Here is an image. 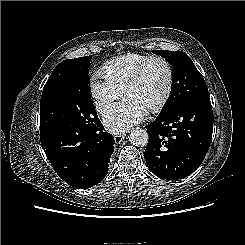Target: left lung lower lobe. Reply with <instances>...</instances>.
Listing matches in <instances>:
<instances>
[{"mask_svg": "<svg viewBox=\"0 0 245 245\" xmlns=\"http://www.w3.org/2000/svg\"><path fill=\"white\" fill-rule=\"evenodd\" d=\"M213 111L209 95L195 96L172 113L158 115L146 126L145 159L150 171L167 179H183L203 162L212 138Z\"/></svg>", "mask_w": 245, "mask_h": 245, "instance_id": "left-lung-lower-lobe-1", "label": "left lung lower lobe"}]
</instances>
